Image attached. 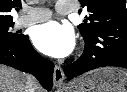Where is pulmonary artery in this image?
<instances>
[{"label": "pulmonary artery", "mask_w": 127, "mask_h": 92, "mask_svg": "<svg viewBox=\"0 0 127 92\" xmlns=\"http://www.w3.org/2000/svg\"><path fill=\"white\" fill-rule=\"evenodd\" d=\"M55 8L59 14H69L73 11L72 6L65 1H58ZM24 12L25 15L16 20V26L19 28L48 20L51 17V11L48 8H29L25 9Z\"/></svg>", "instance_id": "pulmonary-artery-1"}]
</instances>
